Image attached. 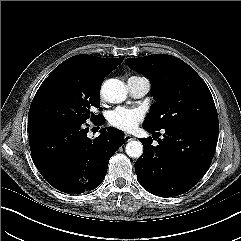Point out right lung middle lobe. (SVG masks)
I'll use <instances>...</instances> for the list:
<instances>
[{"mask_svg": "<svg viewBox=\"0 0 241 241\" xmlns=\"http://www.w3.org/2000/svg\"><path fill=\"white\" fill-rule=\"evenodd\" d=\"M100 87L81 80L75 68L62 62L36 92L28 115V127L55 123H85L100 106ZM101 109V108H99Z\"/></svg>", "mask_w": 241, "mask_h": 241, "instance_id": "obj_1", "label": "right lung middle lobe"}]
</instances>
